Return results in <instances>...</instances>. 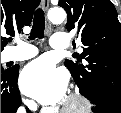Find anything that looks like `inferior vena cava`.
Here are the masks:
<instances>
[{
    "mask_svg": "<svg viewBox=\"0 0 121 113\" xmlns=\"http://www.w3.org/2000/svg\"><path fill=\"white\" fill-rule=\"evenodd\" d=\"M26 104L30 108V110L36 111L37 104L34 101H27ZM24 112H25L24 108L18 109V113H24Z\"/></svg>",
    "mask_w": 121,
    "mask_h": 113,
    "instance_id": "obj_1",
    "label": "inferior vena cava"
}]
</instances>
